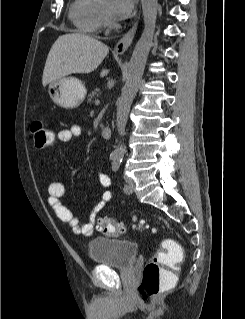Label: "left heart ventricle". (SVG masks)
<instances>
[{"instance_id": "b2bd125f", "label": "left heart ventricle", "mask_w": 245, "mask_h": 319, "mask_svg": "<svg viewBox=\"0 0 245 319\" xmlns=\"http://www.w3.org/2000/svg\"><path fill=\"white\" fill-rule=\"evenodd\" d=\"M103 5L106 8L111 9L113 7V1L112 0H104Z\"/></svg>"}]
</instances>
